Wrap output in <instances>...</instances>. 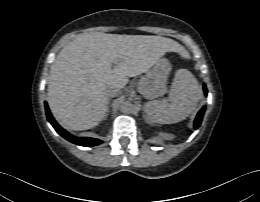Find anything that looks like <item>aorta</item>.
Segmentation results:
<instances>
[{
    "label": "aorta",
    "instance_id": "762f6f07",
    "mask_svg": "<svg viewBox=\"0 0 260 202\" xmlns=\"http://www.w3.org/2000/svg\"><path fill=\"white\" fill-rule=\"evenodd\" d=\"M121 111L123 113H131L133 111V104L129 101L123 102L121 105Z\"/></svg>",
    "mask_w": 260,
    "mask_h": 202
}]
</instances>
